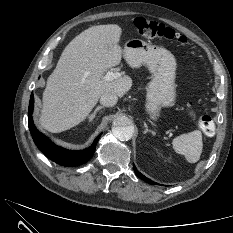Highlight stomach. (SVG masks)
<instances>
[{"label": "stomach", "mask_w": 233, "mask_h": 233, "mask_svg": "<svg viewBox=\"0 0 233 233\" xmlns=\"http://www.w3.org/2000/svg\"><path fill=\"white\" fill-rule=\"evenodd\" d=\"M123 55L132 68L148 67L153 75L147 88L146 111L158 117L162 107L173 104L176 96V60L165 48L144 42L140 39L128 40Z\"/></svg>", "instance_id": "0dacf381"}]
</instances>
